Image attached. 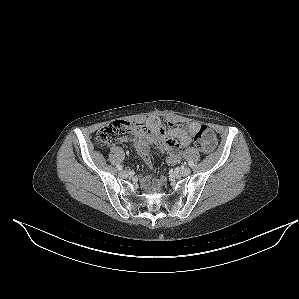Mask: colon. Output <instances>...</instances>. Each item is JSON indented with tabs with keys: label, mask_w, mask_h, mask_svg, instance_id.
<instances>
[{
	"label": "colon",
	"mask_w": 299,
	"mask_h": 299,
	"mask_svg": "<svg viewBox=\"0 0 299 299\" xmlns=\"http://www.w3.org/2000/svg\"><path fill=\"white\" fill-rule=\"evenodd\" d=\"M142 124H136L125 120H115L103 126L96 135V143L100 146H109L135 138L137 131L142 129ZM209 129L201 125L194 135L196 147L202 151H209L212 148L208 140Z\"/></svg>",
	"instance_id": "5ec220e1"
}]
</instances>
